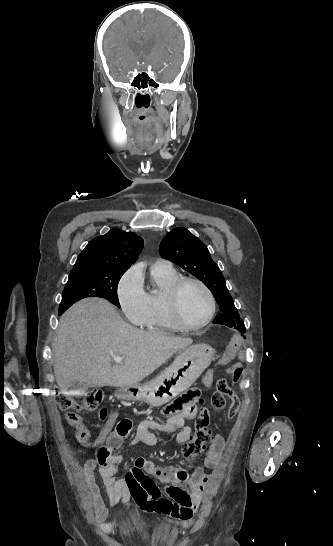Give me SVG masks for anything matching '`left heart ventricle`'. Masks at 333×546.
<instances>
[{"label":"left heart ventricle","instance_id":"1","mask_svg":"<svg viewBox=\"0 0 333 546\" xmlns=\"http://www.w3.org/2000/svg\"><path fill=\"white\" fill-rule=\"evenodd\" d=\"M179 310L186 323L190 325L201 323L209 312L206 293L196 284H185L179 294Z\"/></svg>","mask_w":333,"mask_h":546}]
</instances>
